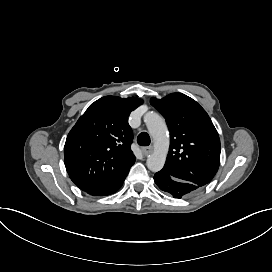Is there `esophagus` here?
Wrapping results in <instances>:
<instances>
[{
  "label": "esophagus",
  "instance_id": "obj_1",
  "mask_svg": "<svg viewBox=\"0 0 272 272\" xmlns=\"http://www.w3.org/2000/svg\"><path fill=\"white\" fill-rule=\"evenodd\" d=\"M141 150L145 155H148V154L152 153V151H153V149L151 147H143Z\"/></svg>",
  "mask_w": 272,
  "mask_h": 272
}]
</instances>
